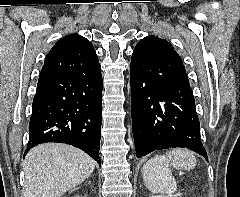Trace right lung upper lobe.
I'll list each match as a JSON object with an SVG mask.
<instances>
[{
	"label": "right lung upper lobe",
	"instance_id": "1",
	"mask_svg": "<svg viewBox=\"0 0 240 197\" xmlns=\"http://www.w3.org/2000/svg\"><path fill=\"white\" fill-rule=\"evenodd\" d=\"M100 64L91 42L79 34L60 39L46 56L39 79L94 72Z\"/></svg>",
	"mask_w": 240,
	"mask_h": 197
}]
</instances>
